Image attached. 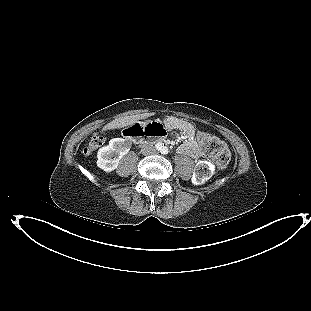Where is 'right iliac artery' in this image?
<instances>
[{
  "label": "right iliac artery",
  "instance_id": "obj_1",
  "mask_svg": "<svg viewBox=\"0 0 311 311\" xmlns=\"http://www.w3.org/2000/svg\"><path fill=\"white\" fill-rule=\"evenodd\" d=\"M156 149L161 150L162 149V143H157L156 145Z\"/></svg>",
  "mask_w": 311,
  "mask_h": 311
}]
</instances>
